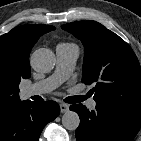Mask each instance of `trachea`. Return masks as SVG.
<instances>
[{
    "label": "trachea",
    "mask_w": 141,
    "mask_h": 141,
    "mask_svg": "<svg viewBox=\"0 0 141 141\" xmlns=\"http://www.w3.org/2000/svg\"><path fill=\"white\" fill-rule=\"evenodd\" d=\"M87 98V96H70L67 97L64 101L67 103H79L84 101Z\"/></svg>",
    "instance_id": "1"
}]
</instances>
